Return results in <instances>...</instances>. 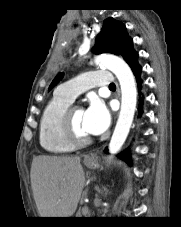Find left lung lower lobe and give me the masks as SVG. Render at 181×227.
<instances>
[{
    "mask_svg": "<svg viewBox=\"0 0 181 227\" xmlns=\"http://www.w3.org/2000/svg\"><path fill=\"white\" fill-rule=\"evenodd\" d=\"M137 58H138V53H136L133 50V48L124 57L125 61L131 67V69H132V71H133V73L136 77L138 87L140 89V86H141V83H142V80L140 79V74H141L142 68H141V66L138 65ZM139 92H140V90H139ZM139 102H140L139 114H141L142 113V104H143L141 97H139ZM106 152H107V150H106ZM119 157L129 163V151L128 150L121 153L119 155Z\"/></svg>",
    "mask_w": 181,
    "mask_h": 227,
    "instance_id": "1",
    "label": "left lung lower lobe"
}]
</instances>
